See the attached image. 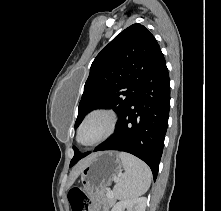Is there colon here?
<instances>
[{"mask_svg": "<svg viewBox=\"0 0 221 211\" xmlns=\"http://www.w3.org/2000/svg\"><path fill=\"white\" fill-rule=\"evenodd\" d=\"M68 200L72 211H89L90 201L80 188H72L68 193Z\"/></svg>", "mask_w": 221, "mask_h": 211, "instance_id": "5ec220e1", "label": "colon"}]
</instances>
